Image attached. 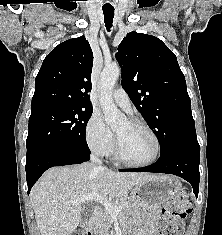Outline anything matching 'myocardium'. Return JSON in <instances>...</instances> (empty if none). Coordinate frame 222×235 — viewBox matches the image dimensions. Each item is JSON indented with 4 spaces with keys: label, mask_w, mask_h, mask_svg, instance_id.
I'll return each instance as SVG.
<instances>
[{
    "label": "myocardium",
    "mask_w": 222,
    "mask_h": 235,
    "mask_svg": "<svg viewBox=\"0 0 222 235\" xmlns=\"http://www.w3.org/2000/svg\"><path fill=\"white\" fill-rule=\"evenodd\" d=\"M128 122L131 126L144 129L149 134L152 135V137L154 138V140L156 142V153L152 159H150L146 162L131 161L124 155V153L121 149L119 138L116 135V142H115V157H116V159L118 161H120L121 163L128 165V166H131V167H147V166L154 164L160 158L161 153H162V143H161V140H160L158 134L148 124H146L145 122H143L139 119L130 118L128 120Z\"/></svg>",
    "instance_id": "f54148a6"
}]
</instances>
